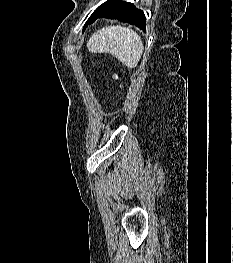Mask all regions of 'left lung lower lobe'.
<instances>
[{"mask_svg":"<svg viewBox=\"0 0 233 263\" xmlns=\"http://www.w3.org/2000/svg\"><path fill=\"white\" fill-rule=\"evenodd\" d=\"M106 17L109 19H118L122 22H128L136 25L140 29H146V18L142 10L137 9L132 3L116 0L115 3L108 6L105 10L91 15L88 24L93 23L97 18Z\"/></svg>","mask_w":233,"mask_h":263,"instance_id":"1","label":"left lung lower lobe"}]
</instances>
